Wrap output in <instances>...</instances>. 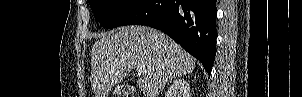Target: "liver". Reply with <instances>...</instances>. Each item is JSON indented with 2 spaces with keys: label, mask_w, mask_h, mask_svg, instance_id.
<instances>
[{
  "label": "liver",
  "mask_w": 302,
  "mask_h": 97,
  "mask_svg": "<svg viewBox=\"0 0 302 97\" xmlns=\"http://www.w3.org/2000/svg\"><path fill=\"white\" fill-rule=\"evenodd\" d=\"M137 65L147 72L137 85L145 97H157L173 78L192 73L195 61L164 33L144 26H125L100 35L91 51V86L95 97L111 89Z\"/></svg>",
  "instance_id": "6515ba94"
}]
</instances>
